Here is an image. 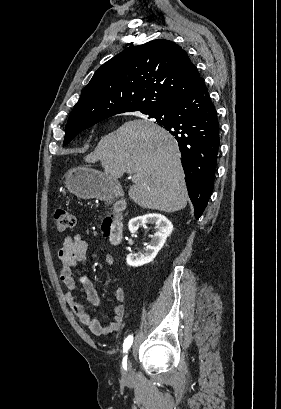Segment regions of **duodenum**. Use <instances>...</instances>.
I'll return each instance as SVG.
<instances>
[{"label": "duodenum", "mask_w": 281, "mask_h": 409, "mask_svg": "<svg viewBox=\"0 0 281 409\" xmlns=\"http://www.w3.org/2000/svg\"><path fill=\"white\" fill-rule=\"evenodd\" d=\"M119 198L124 196L122 191L117 193ZM126 208L124 200H118L114 203L112 211L102 221V232L108 237L110 242L117 246L123 238V221L122 213Z\"/></svg>", "instance_id": "410a0bca"}]
</instances>
